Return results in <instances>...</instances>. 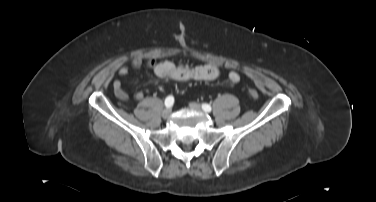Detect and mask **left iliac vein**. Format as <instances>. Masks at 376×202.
I'll return each mask as SVG.
<instances>
[{"label": "left iliac vein", "mask_w": 376, "mask_h": 202, "mask_svg": "<svg viewBox=\"0 0 376 202\" xmlns=\"http://www.w3.org/2000/svg\"><path fill=\"white\" fill-rule=\"evenodd\" d=\"M189 106H190L191 109H193V110H195L197 112H201L202 111L201 106L198 103H196V102H191L189 104Z\"/></svg>", "instance_id": "left-iliac-vein-1"}]
</instances>
